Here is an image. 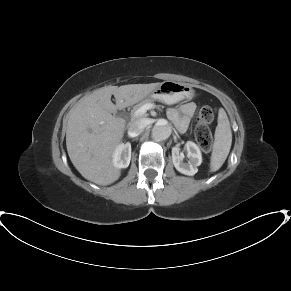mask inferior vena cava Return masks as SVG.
<instances>
[{
    "label": "inferior vena cava",
    "instance_id": "inferior-vena-cava-1",
    "mask_svg": "<svg viewBox=\"0 0 291 291\" xmlns=\"http://www.w3.org/2000/svg\"><path fill=\"white\" fill-rule=\"evenodd\" d=\"M150 124L148 118H141L133 121L128 128V135L130 137H136Z\"/></svg>",
    "mask_w": 291,
    "mask_h": 291
}]
</instances>
